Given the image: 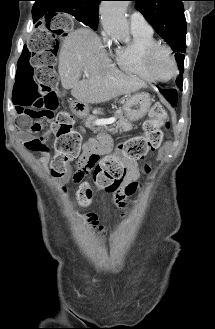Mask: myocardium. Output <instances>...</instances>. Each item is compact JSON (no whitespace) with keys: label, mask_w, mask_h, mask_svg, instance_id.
<instances>
[{"label":"myocardium","mask_w":215,"mask_h":329,"mask_svg":"<svg viewBox=\"0 0 215 329\" xmlns=\"http://www.w3.org/2000/svg\"><path fill=\"white\" fill-rule=\"evenodd\" d=\"M159 50H166L173 63V72L168 78L158 77L154 73V70L152 67V61H153L154 55ZM143 66H144V69L147 72V74L151 77V79L156 82H168V81L172 80L178 73V62H177L175 53L169 45L163 44V43L156 42L145 50V52L143 54Z\"/></svg>","instance_id":"f54148a6"}]
</instances>
